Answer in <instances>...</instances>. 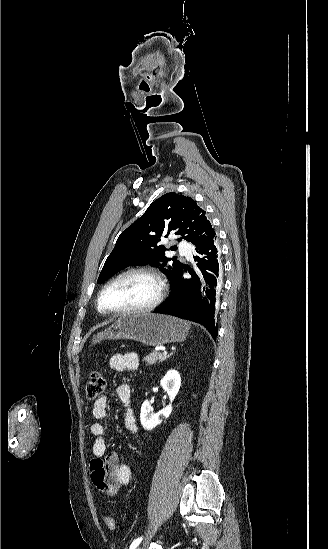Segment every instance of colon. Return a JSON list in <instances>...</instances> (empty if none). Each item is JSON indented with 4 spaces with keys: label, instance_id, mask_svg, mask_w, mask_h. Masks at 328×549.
<instances>
[{
    "label": "colon",
    "instance_id": "5ec220e1",
    "mask_svg": "<svg viewBox=\"0 0 328 549\" xmlns=\"http://www.w3.org/2000/svg\"><path fill=\"white\" fill-rule=\"evenodd\" d=\"M106 381L101 372L94 370L91 372L86 383L85 392L88 400H97L105 390ZM105 525L108 529L116 528V521L113 516L107 515L104 518Z\"/></svg>",
    "mask_w": 328,
    "mask_h": 549
}]
</instances>
